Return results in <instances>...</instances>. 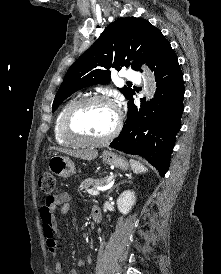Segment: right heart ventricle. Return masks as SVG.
I'll return each instance as SVG.
<instances>
[{
    "instance_id": "e07e8e85",
    "label": "right heart ventricle",
    "mask_w": 221,
    "mask_h": 274,
    "mask_svg": "<svg viewBox=\"0 0 221 274\" xmlns=\"http://www.w3.org/2000/svg\"><path fill=\"white\" fill-rule=\"evenodd\" d=\"M73 101H69L67 102L57 113V116L55 118V122H54V127H53V134H54V138L56 140V142L60 145H64V146H69L74 144L73 142H71L70 140H68L61 131V120H62V116L65 112V110L67 109V107L72 103Z\"/></svg>"
}]
</instances>
